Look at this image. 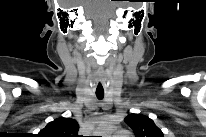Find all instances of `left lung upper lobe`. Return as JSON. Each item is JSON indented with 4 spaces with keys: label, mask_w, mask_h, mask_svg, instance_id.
<instances>
[{
    "label": "left lung upper lobe",
    "mask_w": 206,
    "mask_h": 137,
    "mask_svg": "<svg viewBox=\"0 0 206 137\" xmlns=\"http://www.w3.org/2000/svg\"><path fill=\"white\" fill-rule=\"evenodd\" d=\"M136 137H164L152 119L141 114H130L124 119Z\"/></svg>",
    "instance_id": "5c2ea615"
}]
</instances>
